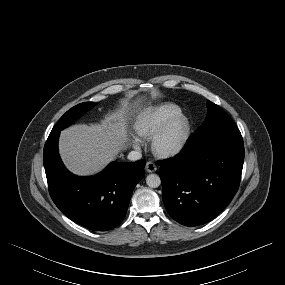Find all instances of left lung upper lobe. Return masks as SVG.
Listing matches in <instances>:
<instances>
[{
  "label": "left lung upper lobe",
  "mask_w": 285,
  "mask_h": 285,
  "mask_svg": "<svg viewBox=\"0 0 285 285\" xmlns=\"http://www.w3.org/2000/svg\"><path fill=\"white\" fill-rule=\"evenodd\" d=\"M207 117L203 125L189 138L188 143H203L227 138H242L229 115L220 106L207 102Z\"/></svg>",
  "instance_id": "5c2ea615"
}]
</instances>
